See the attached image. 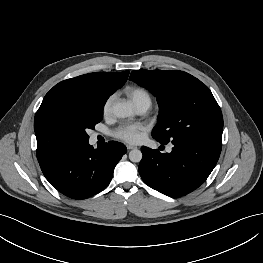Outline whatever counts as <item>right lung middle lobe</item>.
<instances>
[{"label":"right lung middle lobe","instance_id":"right-lung-middle-lobe-1","mask_svg":"<svg viewBox=\"0 0 263 263\" xmlns=\"http://www.w3.org/2000/svg\"><path fill=\"white\" fill-rule=\"evenodd\" d=\"M107 98L97 95L74 104H54L38 110L34 119L38 161L61 149L87 142V130L94 129L102 120Z\"/></svg>","mask_w":263,"mask_h":263}]
</instances>
